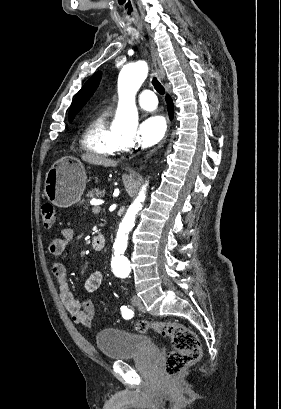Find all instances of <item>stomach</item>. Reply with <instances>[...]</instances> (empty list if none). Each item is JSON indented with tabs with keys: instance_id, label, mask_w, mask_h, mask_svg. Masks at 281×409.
Masks as SVG:
<instances>
[{
	"instance_id": "obj_1",
	"label": "stomach",
	"mask_w": 281,
	"mask_h": 409,
	"mask_svg": "<svg viewBox=\"0 0 281 409\" xmlns=\"http://www.w3.org/2000/svg\"><path fill=\"white\" fill-rule=\"evenodd\" d=\"M86 178L85 166L79 158L62 156L47 170L44 192L52 205L67 209L83 194Z\"/></svg>"
}]
</instances>
